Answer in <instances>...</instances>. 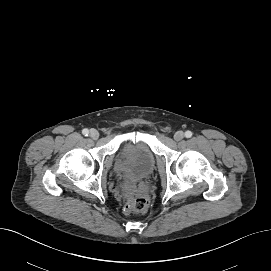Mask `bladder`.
<instances>
[{"label":"bladder","instance_id":"31cf9c89","mask_svg":"<svg viewBox=\"0 0 271 271\" xmlns=\"http://www.w3.org/2000/svg\"><path fill=\"white\" fill-rule=\"evenodd\" d=\"M116 168L120 170L127 184L134 185L146 179L154 170L155 153L146 139L123 140L116 152Z\"/></svg>","mask_w":271,"mask_h":271}]
</instances>
